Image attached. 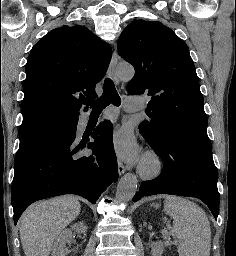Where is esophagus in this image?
Here are the masks:
<instances>
[{"instance_id": "34e87169", "label": "esophagus", "mask_w": 236, "mask_h": 256, "mask_svg": "<svg viewBox=\"0 0 236 256\" xmlns=\"http://www.w3.org/2000/svg\"><path fill=\"white\" fill-rule=\"evenodd\" d=\"M116 65H117V53L114 51L112 55V59L108 68L109 76L114 80V82L118 85L119 79L116 75ZM125 172V167L121 161H118V173L122 175Z\"/></svg>"}]
</instances>
